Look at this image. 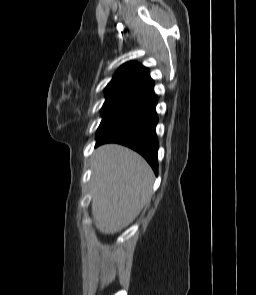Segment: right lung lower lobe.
Instances as JSON below:
<instances>
[{
  "instance_id": "98d812e1",
  "label": "right lung lower lobe",
  "mask_w": 256,
  "mask_h": 295,
  "mask_svg": "<svg viewBox=\"0 0 256 295\" xmlns=\"http://www.w3.org/2000/svg\"><path fill=\"white\" fill-rule=\"evenodd\" d=\"M157 98L153 87L132 99L128 105L96 137V146L115 142L128 146L140 153L158 172V140L155 111Z\"/></svg>"
}]
</instances>
